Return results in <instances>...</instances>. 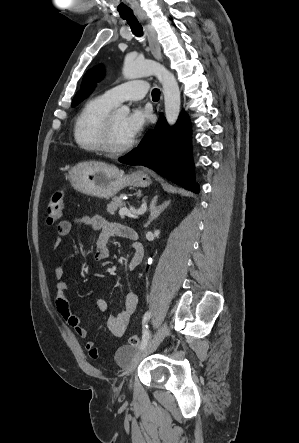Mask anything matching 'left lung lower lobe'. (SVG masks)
Returning <instances> with one entry per match:
<instances>
[{
  "instance_id": "1",
  "label": "left lung lower lobe",
  "mask_w": 299,
  "mask_h": 443,
  "mask_svg": "<svg viewBox=\"0 0 299 443\" xmlns=\"http://www.w3.org/2000/svg\"><path fill=\"white\" fill-rule=\"evenodd\" d=\"M119 161L146 166L188 190L199 192L191 160L190 124L185 114L172 128L161 115L155 129L148 131L138 147Z\"/></svg>"
}]
</instances>
